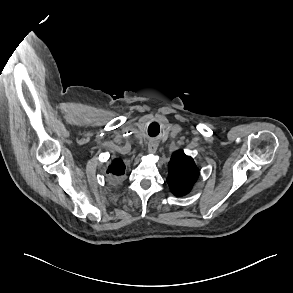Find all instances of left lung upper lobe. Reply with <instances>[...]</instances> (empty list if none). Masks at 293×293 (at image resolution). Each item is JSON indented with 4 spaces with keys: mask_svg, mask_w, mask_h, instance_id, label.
Instances as JSON below:
<instances>
[{
    "mask_svg": "<svg viewBox=\"0 0 293 293\" xmlns=\"http://www.w3.org/2000/svg\"><path fill=\"white\" fill-rule=\"evenodd\" d=\"M168 170L167 182L176 196L188 194L199 176V170L194 160L181 150L172 155Z\"/></svg>",
    "mask_w": 293,
    "mask_h": 293,
    "instance_id": "left-lung-upper-lobe-1",
    "label": "left lung upper lobe"
}]
</instances>
